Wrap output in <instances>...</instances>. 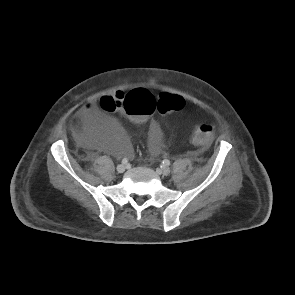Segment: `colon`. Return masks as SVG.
Listing matches in <instances>:
<instances>
[{
    "instance_id": "colon-1",
    "label": "colon",
    "mask_w": 295,
    "mask_h": 295,
    "mask_svg": "<svg viewBox=\"0 0 295 295\" xmlns=\"http://www.w3.org/2000/svg\"><path fill=\"white\" fill-rule=\"evenodd\" d=\"M98 105L105 111L122 112L123 120L135 129L146 128L157 110L161 113H170L183 108L182 97L170 94L154 95L150 92L138 89L128 94L117 93L114 96L102 97ZM213 138V126L202 122L196 125L192 142L195 145L206 146Z\"/></svg>"
}]
</instances>
